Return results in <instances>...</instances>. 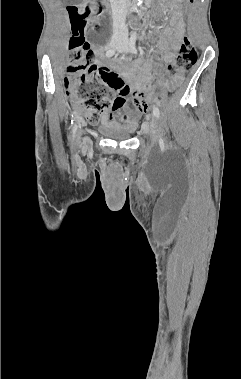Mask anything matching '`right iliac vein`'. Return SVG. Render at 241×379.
<instances>
[{"instance_id":"right-iliac-vein-1","label":"right iliac vein","mask_w":241,"mask_h":379,"mask_svg":"<svg viewBox=\"0 0 241 379\" xmlns=\"http://www.w3.org/2000/svg\"><path fill=\"white\" fill-rule=\"evenodd\" d=\"M116 46H117V44H116V43H114V44H112V45H111V47H116Z\"/></svg>"}]
</instances>
